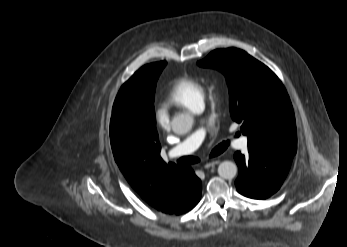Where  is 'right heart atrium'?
<instances>
[{"label": "right heart atrium", "mask_w": 347, "mask_h": 247, "mask_svg": "<svg viewBox=\"0 0 347 247\" xmlns=\"http://www.w3.org/2000/svg\"><path fill=\"white\" fill-rule=\"evenodd\" d=\"M155 121L158 127L164 131L171 127V119L168 113L163 109H158L155 113Z\"/></svg>", "instance_id": "right-heart-atrium-1"}]
</instances>
